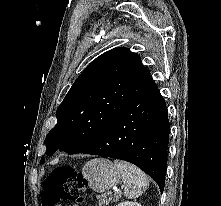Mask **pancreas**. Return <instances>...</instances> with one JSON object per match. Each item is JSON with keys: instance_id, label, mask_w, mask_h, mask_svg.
<instances>
[{"instance_id": "1", "label": "pancreas", "mask_w": 221, "mask_h": 206, "mask_svg": "<svg viewBox=\"0 0 221 206\" xmlns=\"http://www.w3.org/2000/svg\"><path fill=\"white\" fill-rule=\"evenodd\" d=\"M119 198V195H115L114 198L108 197L106 194H103L101 197H99L98 200V206H107L110 202H115Z\"/></svg>"}]
</instances>
